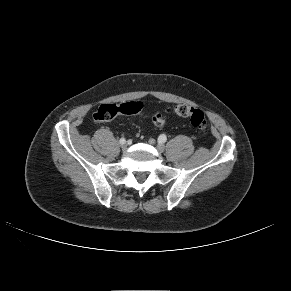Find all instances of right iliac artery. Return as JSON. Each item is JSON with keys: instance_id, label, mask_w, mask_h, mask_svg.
<instances>
[{"instance_id": "82829eb1", "label": "right iliac artery", "mask_w": 291, "mask_h": 291, "mask_svg": "<svg viewBox=\"0 0 291 291\" xmlns=\"http://www.w3.org/2000/svg\"><path fill=\"white\" fill-rule=\"evenodd\" d=\"M119 142H120V144L125 143V142H126V141H125V138H121V139L119 140Z\"/></svg>"}]
</instances>
